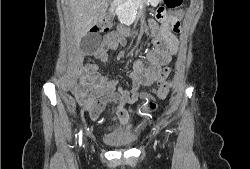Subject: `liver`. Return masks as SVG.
I'll return each instance as SVG.
<instances>
[{
    "label": "liver",
    "mask_w": 250,
    "mask_h": 169,
    "mask_svg": "<svg viewBox=\"0 0 250 169\" xmlns=\"http://www.w3.org/2000/svg\"><path fill=\"white\" fill-rule=\"evenodd\" d=\"M108 2L109 0H70L77 44L99 20V16L108 6Z\"/></svg>",
    "instance_id": "obj_1"
}]
</instances>
